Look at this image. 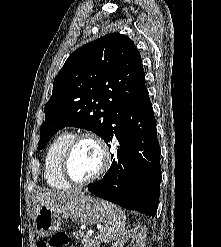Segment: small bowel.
Returning <instances> with one entry per match:
<instances>
[{
    "label": "small bowel",
    "instance_id": "obj_1",
    "mask_svg": "<svg viewBox=\"0 0 221 247\" xmlns=\"http://www.w3.org/2000/svg\"><path fill=\"white\" fill-rule=\"evenodd\" d=\"M39 242H41V241H39ZM39 242H38V244H37V247H39Z\"/></svg>",
    "mask_w": 221,
    "mask_h": 247
}]
</instances>
